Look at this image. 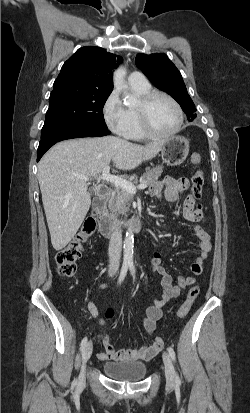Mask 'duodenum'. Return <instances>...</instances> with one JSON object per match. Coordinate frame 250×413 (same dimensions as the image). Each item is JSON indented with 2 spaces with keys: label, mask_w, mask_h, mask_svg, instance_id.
I'll list each match as a JSON object with an SVG mask.
<instances>
[{
  "label": "duodenum",
  "mask_w": 250,
  "mask_h": 413,
  "mask_svg": "<svg viewBox=\"0 0 250 413\" xmlns=\"http://www.w3.org/2000/svg\"><path fill=\"white\" fill-rule=\"evenodd\" d=\"M112 191L108 189L99 195L92 204L91 212L95 218L100 233L105 237H112L120 226L133 232H139L143 228V220L140 217H133L123 224L116 223L106 212V202Z\"/></svg>",
  "instance_id": "1"
}]
</instances>
